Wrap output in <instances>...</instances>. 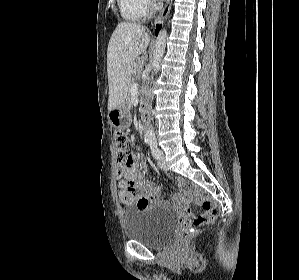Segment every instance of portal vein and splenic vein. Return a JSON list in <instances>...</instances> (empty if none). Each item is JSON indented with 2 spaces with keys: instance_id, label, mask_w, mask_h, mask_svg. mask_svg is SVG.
I'll use <instances>...</instances> for the list:
<instances>
[{
  "instance_id": "1",
  "label": "portal vein and splenic vein",
  "mask_w": 299,
  "mask_h": 280,
  "mask_svg": "<svg viewBox=\"0 0 299 280\" xmlns=\"http://www.w3.org/2000/svg\"><path fill=\"white\" fill-rule=\"evenodd\" d=\"M130 94L132 96H135L138 94V84L137 83H134L131 88H130Z\"/></svg>"
}]
</instances>
